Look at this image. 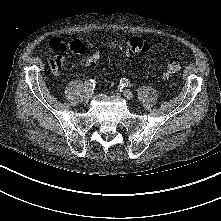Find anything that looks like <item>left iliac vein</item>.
I'll list each match as a JSON object with an SVG mask.
<instances>
[{
	"mask_svg": "<svg viewBox=\"0 0 221 221\" xmlns=\"http://www.w3.org/2000/svg\"><path fill=\"white\" fill-rule=\"evenodd\" d=\"M122 95L126 98V99H132L134 97L133 92H131L130 90L124 89L122 90Z\"/></svg>",
	"mask_w": 221,
	"mask_h": 221,
	"instance_id": "4c4485c4",
	"label": "left iliac vein"
}]
</instances>
